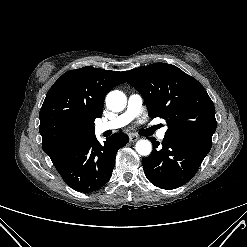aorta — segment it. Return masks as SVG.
Returning a JSON list of instances; mask_svg holds the SVG:
<instances>
[{
  "instance_id": "762f6f07",
  "label": "aorta",
  "mask_w": 247,
  "mask_h": 247,
  "mask_svg": "<svg viewBox=\"0 0 247 247\" xmlns=\"http://www.w3.org/2000/svg\"><path fill=\"white\" fill-rule=\"evenodd\" d=\"M127 104L125 94L119 90L111 91L106 96V106L113 112L124 110ZM135 150L142 156H148L152 151V144L147 139L139 140L135 145Z\"/></svg>"
}]
</instances>
